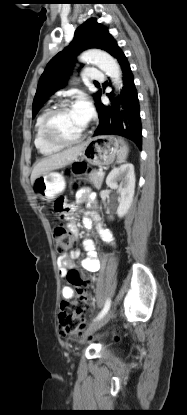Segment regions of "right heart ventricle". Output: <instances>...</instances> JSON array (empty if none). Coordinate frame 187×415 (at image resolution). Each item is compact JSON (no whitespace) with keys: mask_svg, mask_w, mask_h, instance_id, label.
Masks as SVG:
<instances>
[{"mask_svg":"<svg viewBox=\"0 0 187 415\" xmlns=\"http://www.w3.org/2000/svg\"><path fill=\"white\" fill-rule=\"evenodd\" d=\"M49 110L50 109L48 107L44 108L39 114V116L37 117V120L35 123L34 144L37 150L45 156L53 155L62 149L61 146L52 145L49 142H47L43 136L42 124Z\"/></svg>","mask_w":187,"mask_h":415,"instance_id":"e07e8e85","label":"right heart ventricle"}]
</instances>
